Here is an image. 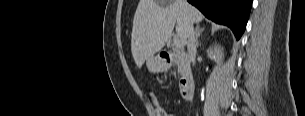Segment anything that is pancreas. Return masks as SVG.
Wrapping results in <instances>:
<instances>
[{
    "label": "pancreas",
    "instance_id": "pancreas-1",
    "mask_svg": "<svg viewBox=\"0 0 305 116\" xmlns=\"http://www.w3.org/2000/svg\"><path fill=\"white\" fill-rule=\"evenodd\" d=\"M175 56H178V51L175 52ZM175 65L177 66V71L179 75H183L184 73V67L181 63V61L176 62Z\"/></svg>",
    "mask_w": 305,
    "mask_h": 116
}]
</instances>
